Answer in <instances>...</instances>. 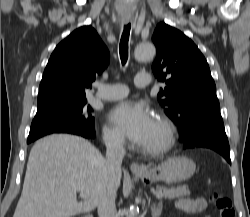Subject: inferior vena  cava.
Instances as JSON below:
<instances>
[{"label": "inferior vena cava", "mask_w": 250, "mask_h": 217, "mask_svg": "<svg viewBox=\"0 0 250 217\" xmlns=\"http://www.w3.org/2000/svg\"><path fill=\"white\" fill-rule=\"evenodd\" d=\"M124 143V137L119 134H113L105 138V187L101 191L99 199V217H116V180L121 176V164L125 155Z\"/></svg>", "instance_id": "602c4592"}]
</instances>
